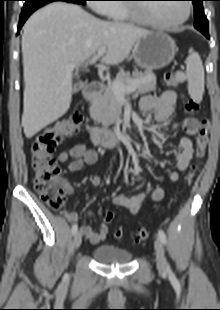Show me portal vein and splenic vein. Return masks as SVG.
<instances>
[{
	"mask_svg": "<svg viewBox=\"0 0 220 310\" xmlns=\"http://www.w3.org/2000/svg\"><path fill=\"white\" fill-rule=\"evenodd\" d=\"M106 52V47H101L98 49L97 54H95L90 60L89 63L93 64L95 63L100 57H102ZM75 67H77V64L73 63L68 65L67 69L68 70H73ZM113 91L117 97H123L125 93H131L136 90V87L134 84L129 85V86H124L120 84L119 82L114 81L113 82Z\"/></svg>",
	"mask_w": 220,
	"mask_h": 310,
	"instance_id": "18ae733b",
	"label": "portal vein and splenic vein"
}]
</instances>
